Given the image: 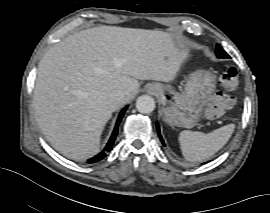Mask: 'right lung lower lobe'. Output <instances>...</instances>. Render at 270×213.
<instances>
[{"mask_svg":"<svg viewBox=\"0 0 270 213\" xmlns=\"http://www.w3.org/2000/svg\"><path fill=\"white\" fill-rule=\"evenodd\" d=\"M126 109H127V107L124 108V109L120 112V114H119V116H118V120H117V122H116V126H115V128H114V131H113V133H112V135H111V137H110V140L108 141L106 147L104 148V150H103L101 153H99L98 155H96L95 157L89 159V160H88V163H95V162H97V161H100L101 159H103V158L106 156V152H108V151L111 150L112 145H113V143H114V141H115L116 135L118 134V126H119V124H120V122H121V120H122V117H123V115H124Z\"/></svg>","mask_w":270,"mask_h":213,"instance_id":"right-lung-lower-lobe-1","label":"right lung lower lobe"}]
</instances>
